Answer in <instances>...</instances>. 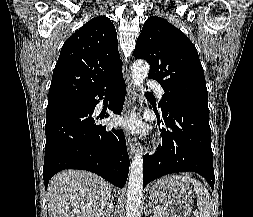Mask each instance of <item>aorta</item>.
Returning a JSON list of instances; mask_svg holds the SVG:
<instances>
[{"instance_id":"1","label":"aorta","mask_w":253,"mask_h":217,"mask_svg":"<svg viewBox=\"0 0 253 217\" xmlns=\"http://www.w3.org/2000/svg\"><path fill=\"white\" fill-rule=\"evenodd\" d=\"M149 64L137 60L131 67L133 83L138 91L143 89V81L148 76ZM143 187L142 148H138L130 166L127 189L126 217H139Z\"/></svg>"}]
</instances>
